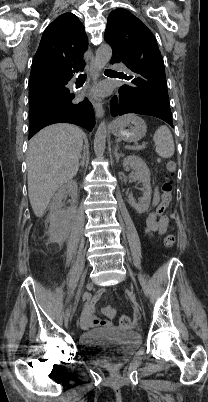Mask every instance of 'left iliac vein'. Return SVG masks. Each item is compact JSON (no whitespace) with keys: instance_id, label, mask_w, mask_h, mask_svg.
I'll return each mask as SVG.
<instances>
[{"instance_id":"4c4485c4","label":"left iliac vein","mask_w":208,"mask_h":402,"mask_svg":"<svg viewBox=\"0 0 208 402\" xmlns=\"http://www.w3.org/2000/svg\"><path fill=\"white\" fill-rule=\"evenodd\" d=\"M129 296H130V297H133V294H132V292H129Z\"/></svg>"}]
</instances>
